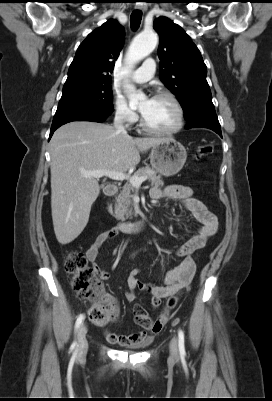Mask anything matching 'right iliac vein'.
<instances>
[{
    "label": "right iliac vein",
    "mask_w": 272,
    "mask_h": 401,
    "mask_svg": "<svg viewBox=\"0 0 272 401\" xmlns=\"http://www.w3.org/2000/svg\"><path fill=\"white\" fill-rule=\"evenodd\" d=\"M86 333H87V326L86 324H82L80 326L79 332H78V355L82 356L87 352L88 349V342L86 338Z\"/></svg>",
    "instance_id": "63e3f726"
}]
</instances>
